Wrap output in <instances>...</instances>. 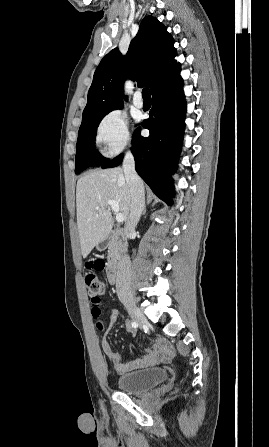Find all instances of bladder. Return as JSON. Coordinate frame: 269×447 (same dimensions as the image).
Wrapping results in <instances>:
<instances>
[{"instance_id":"obj_1","label":"bladder","mask_w":269,"mask_h":447,"mask_svg":"<svg viewBox=\"0 0 269 447\" xmlns=\"http://www.w3.org/2000/svg\"><path fill=\"white\" fill-rule=\"evenodd\" d=\"M168 377V372L163 367L148 368L118 375L116 387L122 393H139L164 383Z\"/></svg>"}]
</instances>
